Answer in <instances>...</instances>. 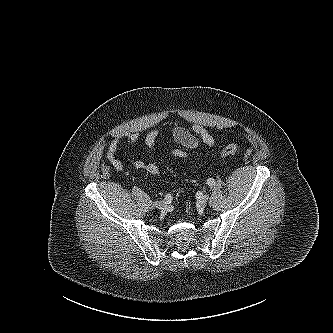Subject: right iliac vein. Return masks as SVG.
<instances>
[{
    "label": "right iliac vein",
    "instance_id": "1",
    "mask_svg": "<svg viewBox=\"0 0 333 333\" xmlns=\"http://www.w3.org/2000/svg\"><path fill=\"white\" fill-rule=\"evenodd\" d=\"M153 205L160 210H165L167 208V203L165 201H156Z\"/></svg>",
    "mask_w": 333,
    "mask_h": 333
}]
</instances>
